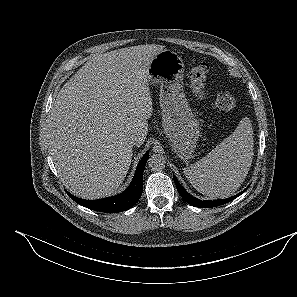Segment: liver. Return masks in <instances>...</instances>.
Segmentation results:
<instances>
[{"label": "liver", "instance_id": "liver-1", "mask_svg": "<svg viewBox=\"0 0 297 297\" xmlns=\"http://www.w3.org/2000/svg\"><path fill=\"white\" fill-rule=\"evenodd\" d=\"M164 49L138 45L93 56L59 91L48 121L50 154L74 195L98 199L124 181L136 135L141 146L153 113L148 66Z\"/></svg>", "mask_w": 297, "mask_h": 297}]
</instances>
